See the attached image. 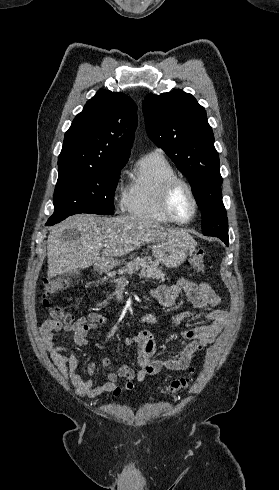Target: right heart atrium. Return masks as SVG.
<instances>
[{"label":"right heart atrium","instance_id":"d8ad5b80","mask_svg":"<svg viewBox=\"0 0 279 490\" xmlns=\"http://www.w3.org/2000/svg\"><path fill=\"white\" fill-rule=\"evenodd\" d=\"M122 179H123V174H120V176L118 177V185L121 184Z\"/></svg>","mask_w":279,"mask_h":490}]
</instances>
